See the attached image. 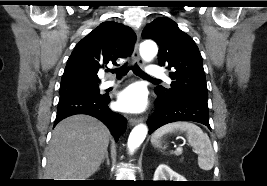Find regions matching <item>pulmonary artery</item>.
<instances>
[{"instance_id": "e3ab8cb5", "label": "pulmonary artery", "mask_w": 267, "mask_h": 186, "mask_svg": "<svg viewBox=\"0 0 267 186\" xmlns=\"http://www.w3.org/2000/svg\"><path fill=\"white\" fill-rule=\"evenodd\" d=\"M147 73H148L150 76H153V77H164V76H165V73H164L163 68L160 67V66H158V65H150V66L147 68ZM115 83H116V80H104V81L101 83V88H108V87H111V86H113Z\"/></svg>"}]
</instances>
